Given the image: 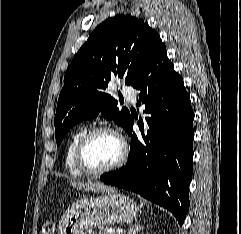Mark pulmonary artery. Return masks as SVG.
Returning <instances> with one entry per match:
<instances>
[{
    "mask_svg": "<svg viewBox=\"0 0 241 234\" xmlns=\"http://www.w3.org/2000/svg\"><path fill=\"white\" fill-rule=\"evenodd\" d=\"M122 93L130 102H136L135 91L131 87L124 86L122 88Z\"/></svg>",
    "mask_w": 241,
    "mask_h": 234,
    "instance_id": "pulmonary-artery-1",
    "label": "pulmonary artery"
}]
</instances>
